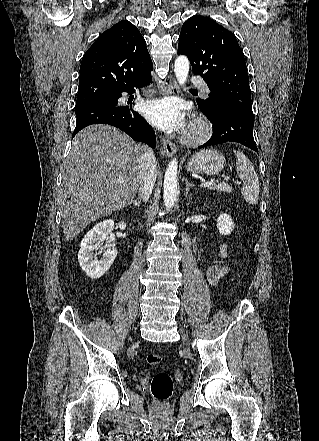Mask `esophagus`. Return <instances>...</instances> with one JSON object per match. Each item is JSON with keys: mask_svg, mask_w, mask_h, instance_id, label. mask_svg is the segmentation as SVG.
<instances>
[{"mask_svg": "<svg viewBox=\"0 0 319 441\" xmlns=\"http://www.w3.org/2000/svg\"><path fill=\"white\" fill-rule=\"evenodd\" d=\"M177 82L174 78L170 79L167 83V87L163 91L164 95H175L178 94ZM163 148L168 157H172L176 153V145L168 138L164 137L162 139Z\"/></svg>", "mask_w": 319, "mask_h": 441, "instance_id": "1", "label": "esophagus"}]
</instances>
